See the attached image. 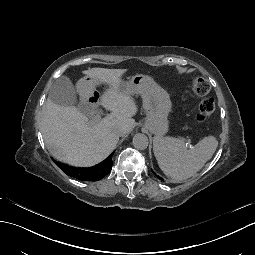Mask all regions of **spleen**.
<instances>
[{
    "mask_svg": "<svg viewBox=\"0 0 255 255\" xmlns=\"http://www.w3.org/2000/svg\"><path fill=\"white\" fill-rule=\"evenodd\" d=\"M218 142L212 135L204 137L191 149L182 139L155 136L153 151L160 169L165 175L183 181L192 177L211 159Z\"/></svg>",
    "mask_w": 255,
    "mask_h": 255,
    "instance_id": "1",
    "label": "spleen"
}]
</instances>
